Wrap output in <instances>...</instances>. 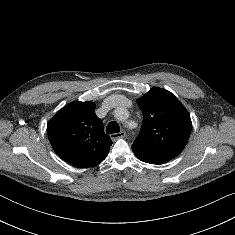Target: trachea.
<instances>
[{
    "instance_id": "obj_1",
    "label": "trachea",
    "mask_w": 235,
    "mask_h": 235,
    "mask_svg": "<svg viewBox=\"0 0 235 235\" xmlns=\"http://www.w3.org/2000/svg\"><path fill=\"white\" fill-rule=\"evenodd\" d=\"M120 127L119 124L115 121H111L106 127L107 134L119 133Z\"/></svg>"
}]
</instances>
